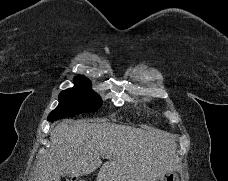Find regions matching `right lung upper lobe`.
<instances>
[{
	"instance_id": "right-lung-upper-lobe-1",
	"label": "right lung upper lobe",
	"mask_w": 228,
	"mask_h": 181,
	"mask_svg": "<svg viewBox=\"0 0 228 181\" xmlns=\"http://www.w3.org/2000/svg\"><path fill=\"white\" fill-rule=\"evenodd\" d=\"M75 86H83V85H90V81L83 77V76H78L74 79Z\"/></svg>"
}]
</instances>
